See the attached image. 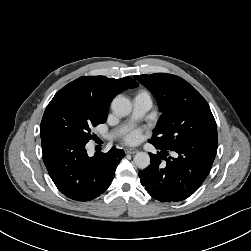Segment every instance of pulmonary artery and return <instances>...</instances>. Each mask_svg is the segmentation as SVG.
<instances>
[{
  "label": "pulmonary artery",
  "instance_id": "1",
  "mask_svg": "<svg viewBox=\"0 0 251 251\" xmlns=\"http://www.w3.org/2000/svg\"><path fill=\"white\" fill-rule=\"evenodd\" d=\"M152 107V98L147 92H140L133 98V113L129 123H134L145 117Z\"/></svg>",
  "mask_w": 251,
  "mask_h": 251
}]
</instances>
